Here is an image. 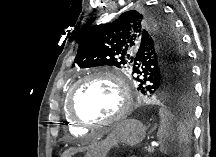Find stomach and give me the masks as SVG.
<instances>
[{
    "label": "stomach",
    "instance_id": "1",
    "mask_svg": "<svg viewBox=\"0 0 216 157\" xmlns=\"http://www.w3.org/2000/svg\"><path fill=\"white\" fill-rule=\"evenodd\" d=\"M146 133V127L137 120L128 119L114 126L106 136L94 142L84 157H107L109 151L118 143L135 145L141 142Z\"/></svg>",
    "mask_w": 216,
    "mask_h": 157
}]
</instances>
